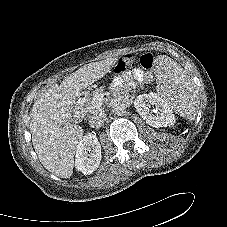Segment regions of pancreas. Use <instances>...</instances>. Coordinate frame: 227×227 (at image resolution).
<instances>
[{
	"mask_svg": "<svg viewBox=\"0 0 227 227\" xmlns=\"http://www.w3.org/2000/svg\"><path fill=\"white\" fill-rule=\"evenodd\" d=\"M101 94H102L101 89H96L89 94L88 100L83 107L84 112L93 113L101 108L103 102L99 101L97 98V97L101 98Z\"/></svg>",
	"mask_w": 227,
	"mask_h": 227,
	"instance_id": "1",
	"label": "pancreas"
}]
</instances>
